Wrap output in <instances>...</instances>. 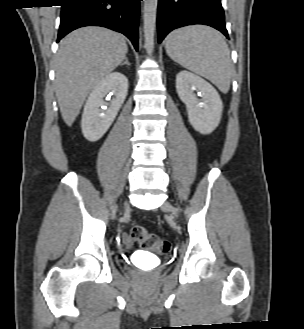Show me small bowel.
<instances>
[{
    "mask_svg": "<svg viewBox=\"0 0 304 329\" xmlns=\"http://www.w3.org/2000/svg\"><path fill=\"white\" fill-rule=\"evenodd\" d=\"M123 243L126 245V246H131V241L129 239V237L127 235H124L123 236Z\"/></svg>",
    "mask_w": 304,
    "mask_h": 329,
    "instance_id": "1",
    "label": "small bowel"
}]
</instances>
